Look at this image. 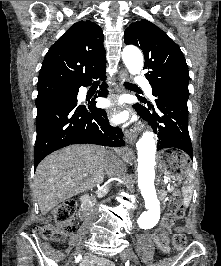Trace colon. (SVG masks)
I'll use <instances>...</instances> for the list:
<instances>
[{
    "mask_svg": "<svg viewBox=\"0 0 221 266\" xmlns=\"http://www.w3.org/2000/svg\"><path fill=\"white\" fill-rule=\"evenodd\" d=\"M76 203L74 200H67L56 206L53 216L55 226H36L34 231L42 238L51 240L58 236H68L75 232L73 216ZM185 214V204L182 196L175 193L169 200V212L164 215L156 232V236L161 243L167 242L171 228L180 221ZM173 245L177 250H183L186 246V237L183 233H176L173 236Z\"/></svg>",
    "mask_w": 221,
    "mask_h": 266,
    "instance_id": "obj_1",
    "label": "colon"
}]
</instances>
